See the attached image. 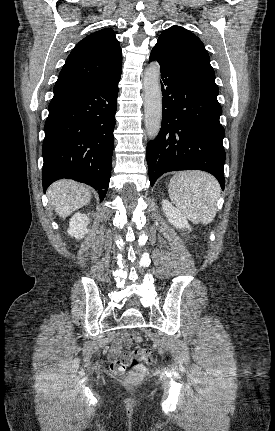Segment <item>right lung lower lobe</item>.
<instances>
[{
    "label": "right lung lower lobe",
    "mask_w": 275,
    "mask_h": 431,
    "mask_svg": "<svg viewBox=\"0 0 275 431\" xmlns=\"http://www.w3.org/2000/svg\"><path fill=\"white\" fill-rule=\"evenodd\" d=\"M121 73L109 82L54 94L45 123L43 189L62 178L107 193Z\"/></svg>",
    "instance_id": "1"
}]
</instances>
